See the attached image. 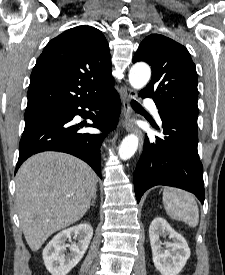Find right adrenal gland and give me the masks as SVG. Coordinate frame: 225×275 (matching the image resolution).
Instances as JSON below:
<instances>
[{
    "label": "right adrenal gland",
    "mask_w": 225,
    "mask_h": 275,
    "mask_svg": "<svg viewBox=\"0 0 225 275\" xmlns=\"http://www.w3.org/2000/svg\"><path fill=\"white\" fill-rule=\"evenodd\" d=\"M96 192H97V189H96V191H95V193H94V195H93V197H92L91 205H93V204L95 203V200H96V198H97Z\"/></svg>",
    "instance_id": "1"
}]
</instances>
